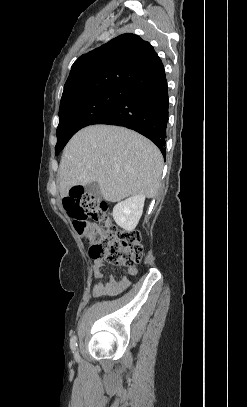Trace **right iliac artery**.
Wrapping results in <instances>:
<instances>
[{
    "instance_id": "obj_1",
    "label": "right iliac artery",
    "mask_w": 247,
    "mask_h": 407,
    "mask_svg": "<svg viewBox=\"0 0 247 407\" xmlns=\"http://www.w3.org/2000/svg\"><path fill=\"white\" fill-rule=\"evenodd\" d=\"M70 347L72 349V351L74 352L77 348V338L76 336H73L70 340Z\"/></svg>"
}]
</instances>
